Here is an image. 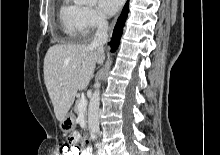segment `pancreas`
Returning a JSON list of instances; mask_svg holds the SVG:
<instances>
[{"mask_svg":"<svg viewBox=\"0 0 220 155\" xmlns=\"http://www.w3.org/2000/svg\"><path fill=\"white\" fill-rule=\"evenodd\" d=\"M79 101H80V99L76 100L75 106H74V112H75L76 114L79 113V109H78ZM84 116L86 117V112H84Z\"/></svg>","mask_w":220,"mask_h":155,"instance_id":"obj_1","label":"pancreas"}]
</instances>
